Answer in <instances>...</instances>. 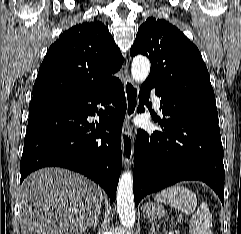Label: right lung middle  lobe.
I'll return each mask as SVG.
<instances>
[{"label":"right lung middle lobe","mask_w":241,"mask_h":234,"mask_svg":"<svg viewBox=\"0 0 241 234\" xmlns=\"http://www.w3.org/2000/svg\"><path fill=\"white\" fill-rule=\"evenodd\" d=\"M50 105H53V104L33 105V106H29V110H34V109H37V108L46 107V106H50Z\"/></svg>","instance_id":"dd1d6c3e"}]
</instances>
